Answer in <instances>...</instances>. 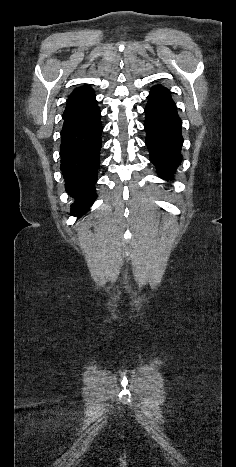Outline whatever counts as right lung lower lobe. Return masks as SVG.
Here are the masks:
<instances>
[{"instance_id":"right-lung-lower-lobe-1","label":"right lung lower lobe","mask_w":236,"mask_h":467,"mask_svg":"<svg viewBox=\"0 0 236 467\" xmlns=\"http://www.w3.org/2000/svg\"><path fill=\"white\" fill-rule=\"evenodd\" d=\"M100 110L96 98L83 107L63 114L61 131V171L67 192L75 198L71 215L85 214L95 201L97 169L100 164Z\"/></svg>"}]
</instances>
